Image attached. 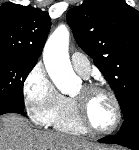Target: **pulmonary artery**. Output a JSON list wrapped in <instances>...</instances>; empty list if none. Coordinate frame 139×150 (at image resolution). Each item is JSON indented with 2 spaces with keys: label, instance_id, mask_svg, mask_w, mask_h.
I'll list each match as a JSON object with an SVG mask.
<instances>
[{
  "label": "pulmonary artery",
  "instance_id": "pulmonary-artery-1",
  "mask_svg": "<svg viewBox=\"0 0 139 150\" xmlns=\"http://www.w3.org/2000/svg\"><path fill=\"white\" fill-rule=\"evenodd\" d=\"M71 63L74 70L83 76L84 78L89 77L91 73V65L88 58L79 52H74L71 55Z\"/></svg>",
  "mask_w": 139,
  "mask_h": 150
}]
</instances>
